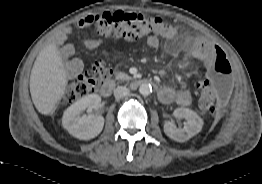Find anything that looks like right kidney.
<instances>
[{"label":"right kidney","mask_w":262,"mask_h":184,"mask_svg":"<svg viewBox=\"0 0 262 184\" xmlns=\"http://www.w3.org/2000/svg\"><path fill=\"white\" fill-rule=\"evenodd\" d=\"M100 102L101 97L97 94H90L77 100L65 110L62 117L63 127L80 140H90L99 135L104 126V118L94 114L80 117V114L86 109H96Z\"/></svg>","instance_id":"1"}]
</instances>
